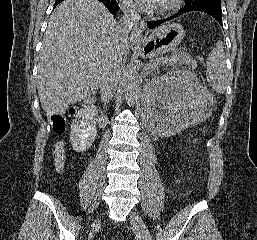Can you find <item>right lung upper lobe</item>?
Masks as SVG:
<instances>
[{"instance_id":"cb5924a9","label":"right lung upper lobe","mask_w":257,"mask_h":240,"mask_svg":"<svg viewBox=\"0 0 257 240\" xmlns=\"http://www.w3.org/2000/svg\"><path fill=\"white\" fill-rule=\"evenodd\" d=\"M63 0H56L55 1V5H58L60 2H62Z\"/></svg>"}]
</instances>
